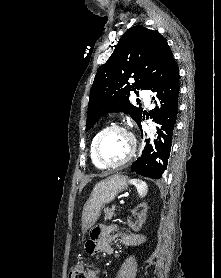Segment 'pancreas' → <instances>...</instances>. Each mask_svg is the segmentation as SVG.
<instances>
[{"label": "pancreas", "instance_id": "pancreas-1", "mask_svg": "<svg viewBox=\"0 0 221 278\" xmlns=\"http://www.w3.org/2000/svg\"><path fill=\"white\" fill-rule=\"evenodd\" d=\"M114 211H115V206H112L111 208L107 209L104 219L105 220H107V219L111 220L115 216Z\"/></svg>", "mask_w": 221, "mask_h": 278}]
</instances>
